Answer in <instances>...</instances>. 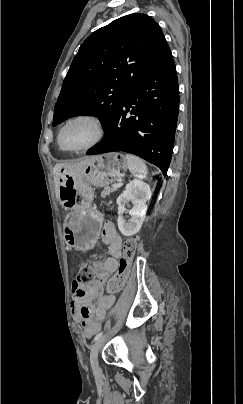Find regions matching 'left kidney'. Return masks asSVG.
I'll use <instances>...</instances> for the list:
<instances>
[{"label": "left kidney", "instance_id": "5707ae66", "mask_svg": "<svg viewBox=\"0 0 243 404\" xmlns=\"http://www.w3.org/2000/svg\"><path fill=\"white\" fill-rule=\"evenodd\" d=\"M151 198V190L148 184L141 180H132L127 184L124 192L117 198L118 204V228L123 236H134L139 232L147 212L146 202ZM131 202L132 208L129 210L131 218L125 220L123 214L127 212L125 206Z\"/></svg>", "mask_w": 243, "mask_h": 404}]
</instances>
